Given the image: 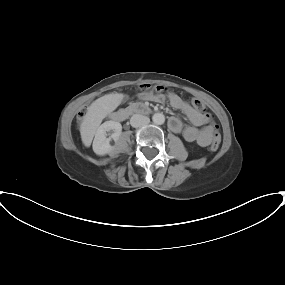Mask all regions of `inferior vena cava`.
I'll return each instance as SVG.
<instances>
[{"label": "inferior vena cava", "mask_w": 285, "mask_h": 285, "mask_svg": "<svg viewBox=\"0 0 285 285\" xmlns=\"http://www.w3.org/2000/svg\"><path fill=\"white\" fill-rule=\"evenodd\" d=\"M149 122H150V119L147 116H143L140 114H134L130 119V124L134 128L147 125Z\"/></svg>", "instance_id": "602c4592"}]
</instances>
